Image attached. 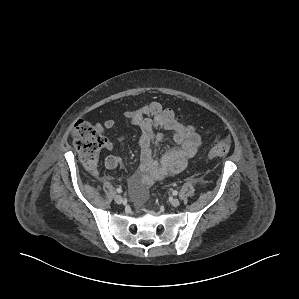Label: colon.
<instances>
[{"label":"colon","instance_id":"1","mask_svg":"<svg viewBox=\"0 0 299 299\" xmlns=\"http://www.w3.org/2000/svg\"><path fill=\"white\" fill-rule=\"evenodd\" d=\"M149 107L154 114L159 115L167 122H182V116L159 102H151ZM73 138L83 164L90 170L96 169L99 153L105 145L104 136L87 121L78 120L74 124ZM229 150V141L220 139L213 143L209 155L223 157L228 154Z\"/></svg>","mask_w":299,"mask_h":299}]
</instances>
